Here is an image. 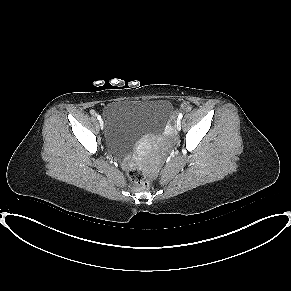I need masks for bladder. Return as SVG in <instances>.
I'll list each match as a JSON object with an SVG mask.
<instances>
[{
  "instance_id": "1",
  "label": "bladder",
  "mask_w": 291,
  "mask_h": 291,
  "mask_svg": "<svg viewBox=\"0 0 291 291\" xmlns=\"http://www.w3.org/2000/svg\"><path fill=\"white\" fill-rule=\"evenodd\" d=\"M173 107L166 99L118 100L103 110V131L112 152L130 149L141 137L158 134L171 117Z\"/></svg>"
}]
</instances>
